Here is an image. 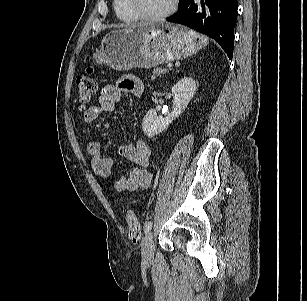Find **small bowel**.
<instances>
[{"label":"small bowel","mask_w":307,"mask_h":301,"mask_svg":"<svg viewBox=\"0 0 307 301\" xmlns=\"http://www.w3.org/2000/svg\"><path fill=\"white\" fill-rule=\"evenodd\" d=\"M144 85L142 81L135 76L127 75L122 77L118 84L106 85L102 88L98 104L90 107L84 113V121L92 123L105 112H112L121 99L122 94H130L140 97L143 93ZM87 151L91 157V168L94 174L102 179L111 176L114 163L110 157L104 155L101 144L92 140L87 144ZM119 154L130 162L134 163L125 175H120L115 182V189L119 192L136 191L140 188H146L150 185L152 174L149 170L151 147L139 139L135 145H123L119 148Z\"/></svg>","instance_id":"small-bowel-1"}]
</instances>
